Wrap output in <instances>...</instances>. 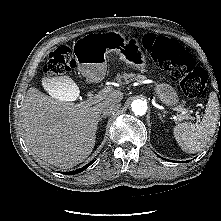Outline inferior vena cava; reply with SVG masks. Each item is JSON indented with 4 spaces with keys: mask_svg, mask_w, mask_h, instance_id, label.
<instances>
[{
    "mask_svg": "<svg viewBox=\"0 0 221 221\" xmlns=\"http://www.w3.org/2000/svg\"><path fill=\"white\" fill-rule=\"evenodd\" d=\"M120 107H121V103L118 101L107 102L102 107L101 112L103 116H109L115 113L116 111H118Z\"/></svg>",
    "mask_w": 221,
    "mask_h": 221,
    "instance_id": "1",
    "label": "inferior vena cava"
}]
</instances>
